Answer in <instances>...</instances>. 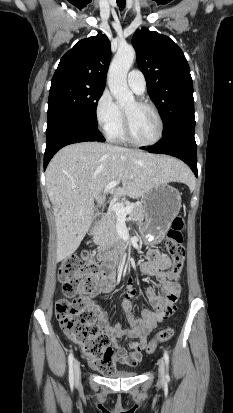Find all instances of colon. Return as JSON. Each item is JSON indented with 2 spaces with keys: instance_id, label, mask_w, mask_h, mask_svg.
<instances>
[{
  "instance_id": "5ec220e1",
  "label": "colon",
  "mask_w": 233,
  "mask_h": 413,
  "mask_svg": "<svg viewBox=\"0 0 233 413\" xmlns=\"http://www.w3.org/2000/svg\"><path fill=\"white\" fill-rule=\"evenodd\" d=\"M183 229L184 219L177 216L167 233L166 251L172 259L167 274L171 279L179 276L185 259ZM111 273V267L101 264L90 251H83L79 256L73 255L65 259L58 270L64 293L70 297L82 295L72 300L62 298L57 301L56 317L60 327L67 338L81 347L82 353L92 366L104 374L114 371L116 354L110 346L109 337L99 331L95 313L88 306L86 295L92 294L100 280ZM169 306L175 308V304L169 303ZM173 335L172 327L160 329L147 344V353H153L158 344L170 340Z\"/></svg>"
}]
</instances>
